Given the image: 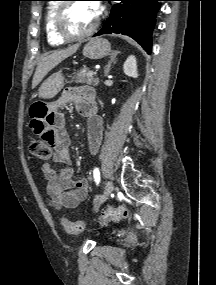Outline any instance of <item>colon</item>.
<instances>
[{
	"mask_svg": "<svg viewBox=\"0 0 216 285\" xmlns=\"http://www.w3.org/2000/svg\"><path fill=\"white\" fill-rule=\"evenodd\" d=\"M29 150L33 156L42 161H47L52 156V147L50 144H45V141L33 140L29 144ZM130 211L127 207L120 206L116 208H108L97 218L98 222L119 221L129 217ZM64 231L67 234H79L86 227V221L78 219L70 221L66 218L61 220Z\"/></svg>",
	"mask_w": 216,
	"mask_h": 285,
	"instance_id": "obj_1",
	"label": "colon"
}]
</instances>
